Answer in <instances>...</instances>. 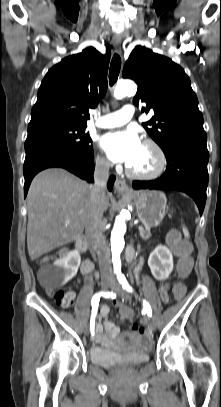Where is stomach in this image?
Returning a JSON list of instances; mask_svg holds the SVG:
<instances>
[{
  "mask_svg": "<svg viewBox=\"0 0 221 407\" xmlns=\"http://www.w3.org/2000/svg\"><path fill=\"white\" fill-rule=\"evenodd\" d=\"M135 204L138 218L146 227H156L162 222L167 205L164 193L155 190L140 192Z\"/></svg>",
  "mask_w": 221,
  "mask_h": 407,
  "instance_id": "0dacf381",
  "label": "stomach"
}]
</instances>
